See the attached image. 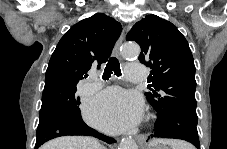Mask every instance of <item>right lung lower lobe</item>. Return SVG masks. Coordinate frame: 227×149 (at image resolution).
<instances>
[{
  "label": "right lung lower lobe",
  "instance_id": "obj_1",
  "mask_svg": "<svg viewBox=\"0 0 227 149\" xmlns=\"http://www.w3.org/2000/svg\"><path fill=\"white\" fill-rule=\"evenodd\" d=\"M66 135H84L96 137L109 144L114 143L113 138L100 134L96 130L88 127L85 122L78 118H62L49 122L39 123L36 131L35 149L39 148L46 141Z\"/></svg>",
  "mask_w": 227,
  "mask_h": 149
}]
</instances>
